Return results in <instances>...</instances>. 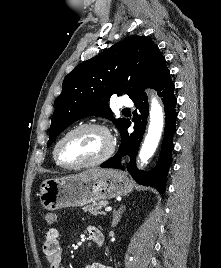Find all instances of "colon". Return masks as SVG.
Wrapping results in <instances>:
<instances>
[{
  "mask_svg": "<svg viewBox=\"0 0 221 268\" xmlns=\"http://www.w3.org/2000/svg\"><path fill=\"white\" fill-rule=\"evenodd\" d=\"M44 221L48 226H51L57 221V216L52 212H48L44 216Z\"/></svg>",
  "mask_w": 221,
  "mask_h": 268,
  "instance_id": "5ec220e1",
  "label": "colon"
}]
</instances>
